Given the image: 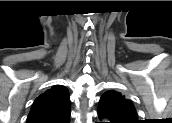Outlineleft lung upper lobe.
Masks as SVG:
<instances>
[{
	"instance_id": "obj_1",
	"label": "left lung upper lobe",
	"mask_w": 172,
	"mask_h": 123,
	"mask_svg": "<svg viewBox=\"0 0 172 123\" xmlns=\"http://www.w3.org/2000/svg\"><path fill=\"white\" fill-rule=\"evenodd\" d=\"M98 117L99 119L108 118L111 123L139 122L133 103L113 90L102 95L98 105Z\"/></svg>"
}]
</instances>
